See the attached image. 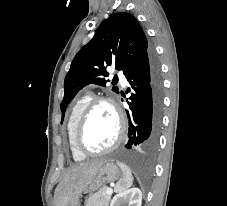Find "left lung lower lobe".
I'll return each instance as SVG.
<instances>
[{
  "mask_svg": "<svg viewBox=\"0 0 227 206\" xmlns=\"http://www.w3.org/2000/svg\"><path fill=\"white\" fill-rule=\"evenodd\" d=\"M125 77L132 89L127 101L129 140L125 148L151 152L158 144L163 100L160 68L153 51L150 49Z\"/></svg>",
  "mask_w": 227,
  "mask_h": 206,
  "instance_id": "left-lung-lower-lobe-1",
  "label": "left lung lower lobe"
}]
</instances>
